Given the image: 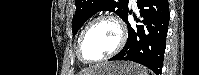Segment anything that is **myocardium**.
Masks as SVG:
<instances>
[{
	"label": "myocardium",
	"instance_id": "1",
	"mask_svg": "<svg viewBox=\"0 0 199 75\" xmlns=\"http://www.w3.org/2000/svg\"><path fill=\"white\" fill-rule=\"evenodd\" d=\"M103 21H107V22H111L118 30V42L116 47L110 51L109 53H107L106 55L100 57L99 59H95V60H87L83 57L82 55V45H83V41L87 35V33L89 32V30L97 23L99 22H103ZM127 39V32H126V28L123 24V22L116 16L114 15H100L98 17H95L94 19H92L87 26L84 28V30L82 31L79 39H78V44H77V56L78 59L84 63V64H95V63H99L102 61H105L113 56H115L118 52H120V50L123 48L125 42Z\"/></svg>",
	"mask_w": 199,
	"mask_h": 75
}]
</instances>
